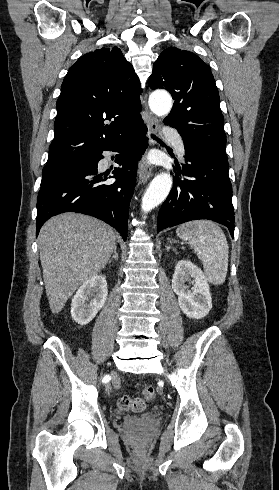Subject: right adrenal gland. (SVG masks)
Masks as SVG:
<instances>
[{
	"mask_svg": "<svg viewBox=\"0 0 279 490\" xmlns=\"http://www.w3.org/2000/svg\"><path fill=\"white\" fill-rule=\"evenodd\" d=\"M112 260H116V262H118L117 246H115L114 254L111 256L110 260H108V264H111Z\"/></svg>",
	"mask_w": 279,
	"mask_h": 490,
	"instance_id": "2a0ac1e0",
	"label": "right adrenal gland"
}]
</instances>
